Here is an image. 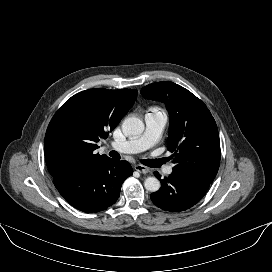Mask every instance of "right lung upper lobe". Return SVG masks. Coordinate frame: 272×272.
<instances>
[{
    "instance_id": "right-lung-upper-lobe-1",
    "label": "right lung upper lobe",
    "mask_w": 272,
    "mask_h": 272,
    "mask_svg": "<svg viewBox=\"0 0 272 272\" xmlns=\"http://www.w3.org/2000/svg\"><path fill=\"white\" fill-rule=\"evenodd\" d=\"M136 89H90L56 112L46 131L44 153L52 177L89 168L107 157L94 152L133 106Z\"/></svg>"
}]
</instances>
